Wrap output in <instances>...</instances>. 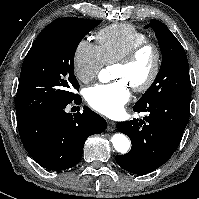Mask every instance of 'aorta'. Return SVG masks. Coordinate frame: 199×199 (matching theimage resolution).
Segmentation results:
<instances>
[{
	"instance_id": "aorta-1",
	"label": "aorta",
	"mask_w": 199,
	"mask_h": 199,
	"mask_svg": "<svg viewBox=\"0 0 199 199\" xmlns=\"http://www.w3.org/2000/svg\"><path fill=\"white\" fill-rule=\"evenodd\" d=\"M101 82H107L109 80V72L106 69H102L98 75ZM111 142L117 152L122 154L127 153L130 149L129 139L122 133H116L112 136Z\"/></svg>"
}]
</instances>
